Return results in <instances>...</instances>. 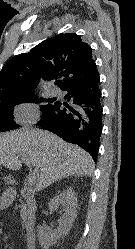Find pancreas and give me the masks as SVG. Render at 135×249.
<instances>
[{
  "instance_id": "obj_1",
  "label": "pancreas",
  "mask_w": 135,
  "mask_h": 249,
  "mask_svg": "<svg viewBox=\"0 0 135 249\" xmlns=\"http://www.w3.org/2000/svg\"><path fill=\"white\" fill-rule=\"evenodd\" d=\"M34 206L31 203H26L21 208V217L24 222H27L28 219L32 218L34 214Z\"/></svg>"
}]
</instances>
